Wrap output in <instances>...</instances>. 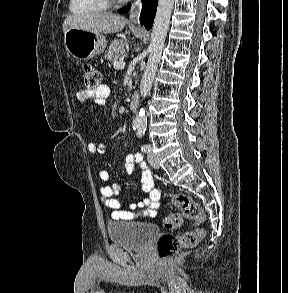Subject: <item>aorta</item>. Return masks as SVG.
<instances>
[{
    "label": "aorta",
    "instance_id": "762f6f07",
    "mask_svg": "<svg viewBox=\"0 0 288 293\" xmlns=\"http://www.w3.org/2000/svg\"><path fill=\"white\" fill-rule=\"evenodd\" d=\"M174 5V0H159L151 32L150 55L146 69L140 83V95L145 99L150 93L158 64L161 59L167 31L169 28L170 17ZM133 126L138 131L145 130L147 126V116L145 108H141L136 115Z\"/></svg>",
    "mask_w": 288,
    "mask_h": 293
}]
</instances>
